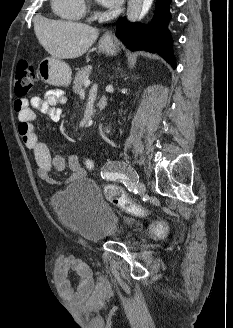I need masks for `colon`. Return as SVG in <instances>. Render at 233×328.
Returning a JSON list of instances; mask_svg holds the SVG:
<instances>
[{"label":"colon","instance_id":"5ec220e1","mask_svg":"<svg viewBox=\"0 0 233 328\" xmlns=\"http://www.w3.org/2000/svg\"><path fill=\"white\" fill-rule=\"evenodd\" d=\"M35 82V70L27 59H21L18 62L15 74V94L19 97L27 95L32 89ZM104 194L109 202L122 208L126 212L132 214H142L143 210L134 202L129 200L125 191L118 185L106 184L104 186ZM164 225H159L157 232L163 233Z\"/></svg>","mask_w":233,"mask_h":328}]
</instances>
